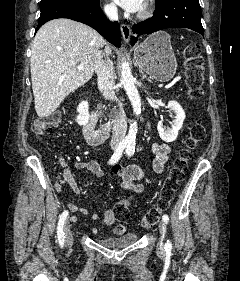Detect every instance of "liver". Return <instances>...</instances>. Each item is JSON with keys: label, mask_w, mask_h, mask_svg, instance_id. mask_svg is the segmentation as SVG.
Instances as JSON below:
<instances>
[{"label": "liver", "mask_w": 240, "mask_h": 281, "mask_svg": "<svg viewBox=\"0 0 240 281\" xmlns=\"http://www.w3.org/2000/svg\"><path fill=\"white\" fill-rule=\"evenodd\" d=\"M106 44L91 27L55 19L36 33L30 59L35 110L40 118L50 116L74 90L93 76L99 49ZM109 54L111 48L107 45ZM79 65L83 70H78Z\"/></svg>", "instance_id": "6515ba94"}]
</instances>
